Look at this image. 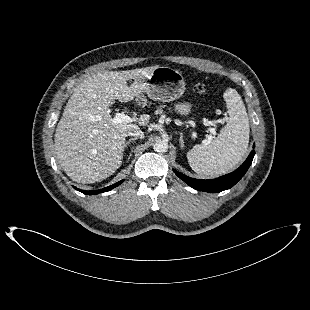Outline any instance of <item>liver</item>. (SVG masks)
Masks as SVG:
<instances>
[{"label": "liver", "mask_w": 310, "mask_h": 310, "mask_svg": "<svg viewBox=\"0 0 310 310\" xmlns=\"http://www.w3.org/2000/svg\"><path fill=\"white\" fill-rule=\"evenodd\" d=\"M158 66L94 74L81 82L68 100L55 132V154L75 182L95 183L112 175L122 164L127 132L133 123H113L115 100L129 102L141 95L146 79ZM134 82L128 86L127 81ZM143 114L138 124L146 126Z\"/></svg>", "instance_id": "obj_1"}]
</instances>
